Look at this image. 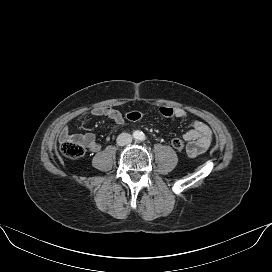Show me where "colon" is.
<instances>
[{"label":"colon","instance_id":"5ec220e1","mask_svg":"<svg viewBox=\"0 0 272 272\" xmlns=\"http://www.w3.org/2000/svg\"><path fill=\"white\" fill-rule=\"evenodd\" d=\"M160 114L165 118H172L175 116V110L172 107L163 106L159 109ZM145 118V113L132 110L126 114V119L130 122H138ZM172 146L175 150L181 152L185 148V143L183 140L176 138L172 141ZM61 153L71 159H77L84 154V146L76 141H66L63 142L60 146Z\"/></svg>","mask_w":272,"mask_h":272}]
</instances>
